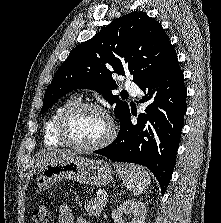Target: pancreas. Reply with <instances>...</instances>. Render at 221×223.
<instances>
[{"label": "pancreas", "instance_id": "obj_1", "mask_svg": "<svg viewBox=\"0 0 221 223\" xmlns=\"http://www.w3.org/2000/svg\"><path fill=\"white\" fill-rule=\"evenodd\" d=\"M107 204L106 196H97L94 199L90 200L85 209L88 212L89 216L99 217Z\"/></svg>", "mask_w": 221, "mask_h": 223}]
</instances>
